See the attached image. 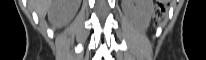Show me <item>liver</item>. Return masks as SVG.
Listing matches in <instances>:
<instances>
[{"label":"liver","instance_id":"6515ba94","mask_svg":"<svg viewBox=\"0 0 206 60\" xmlns=\"http://www.w3.org/2000/svg\"><path fill=\"white\" fill-rule=\"evenodd\" d=\"M80 0H29V5L43 19L46 13L52 8L53 13L49 15V20L54 27L65 26L77 12Z\"/></svg>","mask_w":206,"mask_h":60}]
</instances>
